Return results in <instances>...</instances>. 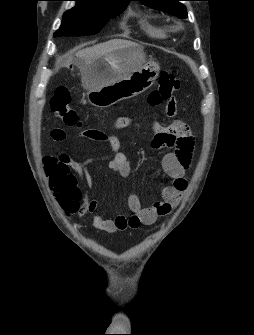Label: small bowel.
<instances>
[{
	"label": "small bowel",
	"instance_id": "c3829d8e",
	"mask_svg": "<svg viewBox=\"0 0 254 335\" xmlns=\"http://www.w3.org/2000/svg\"><path fill=\"white\" fill-rule=\"evenodd\" d=\"M166 108L159 109V114L175 115L177 110L176 94H169ZM129 124L127 117H119L114 122L116 129H123ZM150 129L155 134L152 146L154 148L170 147L172 151L168 152L162 160V169L172 180V184L162 190V200L154 203L152 206L145 207L136 194H130L127 200L131 211L129 215H118L113 219H106L102 215L96 214L93 224L96 228L114 233L126 229H138L142 225H152L158 218L166 216L171 209L177 206L181 200L183 192L187 188L185 174L189 169L194 151V140L191 129L188 124L182 121L170 123L168 127L152 124ZM54 141H63L64 132L59 128H54L51 132ZM80 137L85 140L100 141L104 140L111 148V154L108 156L90 158L85 162L72 160L67 154H61L58 159L62 163L56 169H62V178L65 179L72 188L76 187V176L79 177L86 186H90V174L88 165L97 160H108V168L111 172L126 178L131 173V167L126 155L121 151L120 141L113 134H104L97 130L85 129L80 132ZM167 138H171V143H167ZM54 167L52 168V170ZM45 170L49 176V172ZM51 170V171H52ZM57 194V188L53 189ZM64 211L71 214L84 216L96 211L98 203L96 200L77 201L71 194L62 199Z\"/></svg>",
	"mask_w": 254,
	"mask_h": 335
}]
</instances>
